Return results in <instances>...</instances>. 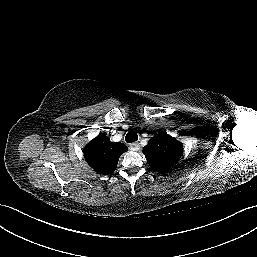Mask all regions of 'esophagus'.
Segmentation results:
<instances>
[{
	"mask_svg": "<svg viewBox=\"0 0 257 257\" xmlns=\"http://www.w3.org/2000/svg\"><path fill=\"white\" fill-rule=\"evenodd\" d=\"M129 148H130L131 150H133V151H138L139 148H140V145H139L138 143H131V144L129 145Z\"/></svg>",
	"mask_w": 257,
	"mask_h": 257,
	"instance_id": "34e87169",
	"label": "esophagus"
}]
</instances>
